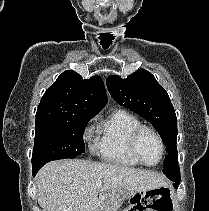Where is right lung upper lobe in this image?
I'll return each instance as SVG.
<instances>
[{"instance_id":"1","label":"right lung upper lobe","mask_w":209,"mask_h":211,"mask_svg":"<svg viewBox=\"0 0 209 211\" xmlns=\"http://www.w3.org/2000/svg\"><path fill=\"white\" fill-rule=\"evenodd\" d=\"M106 103L107 96L101 77L83 79L78 73L67 70L44 93L36 119L95 116Z\"/></svg>"}]
</instances>
